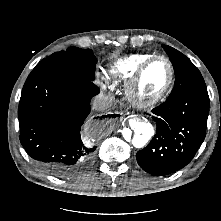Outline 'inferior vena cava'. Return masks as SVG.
<instances>
[{
    "instance_id": "obj_1",
    "label": "inferior vena cava",
    "mask_w": 221,
    "mask_h": 221,
    "mask_svg": "<svg viewBox=\"0 0 221 221\" xmlns=\"http://www.w3.org/2000/svg\"><path fill=\"white\" fill-rule=\"evenodd\" d=\"M113 98L107 94H99L93 100V108L102 111L108 109L112 105Z\"/></svg>"
}]
</instances>
